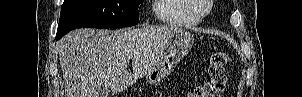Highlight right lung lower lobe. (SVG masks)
Instances as JSON below:
<instances>
[{
	"label": "right lung lower lobe",
	"mask_w": 302,
	"mask_h": 97,
	"mask_svg": "<svg viewBox=\"0 0 302 97\" xmlns=\"http://www.w3.org/2000/svg\"><path fill=\"white\" fill-rule=\"evenodd\" d=\"M60 37H62L60 34L56 35V39H59Z\"/></svg>",
	"instance_id": "98d812e1"
}]
</instances>
